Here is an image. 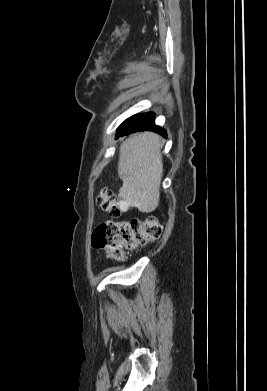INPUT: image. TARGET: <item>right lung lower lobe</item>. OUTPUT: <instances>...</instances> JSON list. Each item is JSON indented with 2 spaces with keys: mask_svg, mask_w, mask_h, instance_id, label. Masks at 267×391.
<instances>
[{
  "mask_svg": "<svg viewBox=\"0 0 267 391\" xmlns=\"http://www.w3.org/2000/svg\"><path fill=\"white\" fill-rule=\"evenodd\" d=\"M154 118L153 113L138 114L128 118L117 129L116 138H118V136L145 130L159 133L165 137V130L155 125Z\"/></svg>",
  "mask_w": 267,
  "mask_h": 391,
  "instance_id": "right-lung-lower-lobe-1",
  "label": "right lung lower lobe"
}]
</instances>
